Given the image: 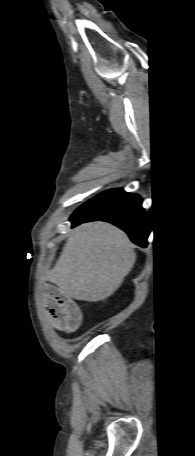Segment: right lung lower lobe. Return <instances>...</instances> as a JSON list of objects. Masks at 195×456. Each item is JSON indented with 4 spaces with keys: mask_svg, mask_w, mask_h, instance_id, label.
<instances>
[{
    "mask_svg": "<svg viewBox=\"0 0 195 456\" xmlns=\"http://www.w3.org/2000/svg\"><path fill=\"white\" fill-rule=\"evenodd\" d=\"M72 227L84 222L107 221L124 230L130 239L146 247L149 235V217L142 208V199L122 189L100 193L80 206L70 218Z\"/></svg>",
    "mask_w": 195,
    "mask_h": 456,
    "instance_id": "98d812e1",
    "label": "right lung lower lobe"
}]
</instances>
